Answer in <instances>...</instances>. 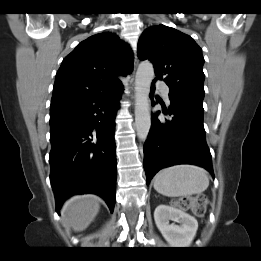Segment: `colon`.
Masks as SVG:
<instances>
[{"mask_svg": "<svg viewBox=\"0 0 261 261\" xmlns=\"http://www.w3.org/2000/svg\"><path fill=\"white\" fill-rule=\"evenodd\" d=\"M177 205L181 209H191L196 216H203L206 212L207 197L198 194L194 197H181L177 200Z\"/></svg>", "mask_w": 261, "mask_h": 261, "instance_id": "obj_1", "label": "colon"}]
</instances>
